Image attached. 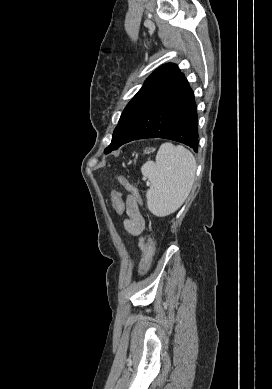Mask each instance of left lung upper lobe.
Returning <instances> with one entry per match:
<instances>
[{
  "label": "left lung upper lobe",
  "mask_w": 272,
  "mask_h": 389,
  "mask_svg": "<svg viewBox=\"0 0 272 389\" xmlns=\"http://www.w3.org/2000/svg\"><path fill=\"white\" fill-rule=\"evenodd\" d=\"M179 73L180 70L175 64L168 63L160 66L146 79L142 88L121 114L119 123L113 132L111 144L104 150V153H110L121 146L140 119L150 99Z\"/></svg>",
  "instance_id": "left-lung-upper-lobe-1"
}]
</instances>
